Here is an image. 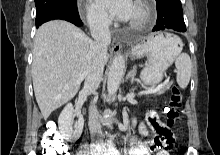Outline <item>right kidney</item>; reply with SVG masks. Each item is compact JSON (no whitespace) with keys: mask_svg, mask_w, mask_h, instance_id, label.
<instances>
[{"mask_svg":"<svg viewBox=\"0 0 220 155\" xmlns=\"http://www.w3.org/2000/svg\"><path fill=\"white\" fill-rule=\"evenodd\" d=\"M74 112L73 105L69 103L65 106L58 118L59 132L67 139L79 138L83 130L84 119L81 115H78V121L75 122L73 127V119L76 116Z\"/></svg>","mask_w":220,"mask_h":155,"instance_id":"right-kidney-1","label":"right kidney"}]
</instances>
